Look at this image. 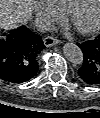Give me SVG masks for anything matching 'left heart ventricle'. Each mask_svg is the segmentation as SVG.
<instances>
[{
  "label": "left heart ventricle",
  "instance_id": "left-heart-ventricle-1",
  "mask_svg": "<svg viewBox=\"0 0 100 118\" xmlns=\"http://www.w3.org/2000/svg\"><path fill=\"white\" fill-rule=\"evenodd\" d=\"M99 8L98 0H92L82 11L77 15L75 24L78 27H86L91 25L97 15V11Z\"/></svg>",
  "mask_w": 100,
  "mask_h": 118
}]
</instances>
